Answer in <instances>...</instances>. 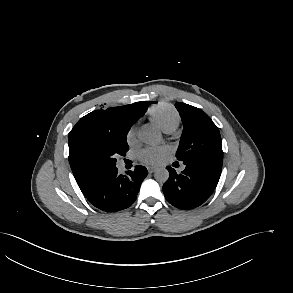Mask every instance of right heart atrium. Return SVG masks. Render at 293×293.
<instances>
[{
  "label": "right heart atrium",
  "mask_w": 293,
  "mask_h": 293,
  "mask_svg": "<svg viewBox=\"0 0 293 293\" xmlns=\"http://www.w3.org/2000/svg\"><path fill=\"white\" fill-rule=\"evenodd\" d=\"M137 129L136 126H131L127 132L126 140L129 144L133 143L136 139Z\"/></svg>",
  "instance_id": "d8ad5b80"
}]
</instances>
